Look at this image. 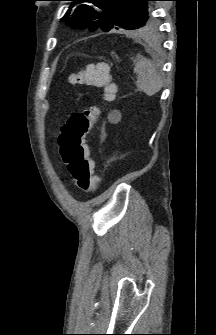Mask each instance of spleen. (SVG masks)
<instances>
[{
  "label": "spleen",
  "instance_id": "3e777b00",
  "mask_svg": "<svg viewBox=\"0 0 216 335\" xmlns=\"http://www.w3.org/2000/svg\"><path fill=\"white\" fill-rule=\"evenodd\" d=\"M134 73L138 90L147 96L155 95L162 88L161 76L149 59L138 55L134 61Z\"/></svg>",
  "mask_w": 216,
  "mask_h": 335
}]
</instances>
